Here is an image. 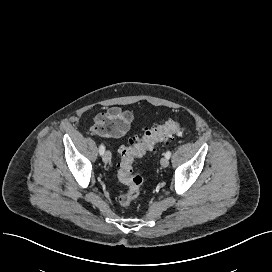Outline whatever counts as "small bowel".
Returning a JSON list of instances; mask_svg holds the SVG:
<instances>
[{
    "label": "small bowel",
    "instance_id": "c3829d8e",
    "mask_svg": "<svg viewBox=\"0 0 272 272\" xmlns=\"http://www.w3.org/2000/svg\"><path fill=\"white\" fill-rule=\"evenodd\" d=\"M132 119V116L131 115H129V122H130V120Z\"/></svg>",
    "mask_w": 272,
    "mask_h": 272
}]
</instances>
